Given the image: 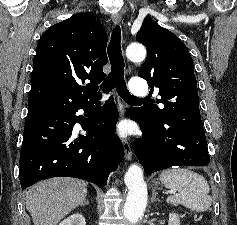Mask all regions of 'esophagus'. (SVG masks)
Masks as SVG:
<instances>
[{"instance_id":"esophagus-1","label":"esophagus","mask_w":237,"mask_h":225,"mask_svg":"<svg viewBox=\"0 0 237 225\" xmlns=\"http://www.w3.org/2000/svg\"><path fill=\"white\" fill-rule=\"evenodd\" d=\"M111 19H112L114 24H118V23L121 22V15L118 14V13H115L111 16ZM117 105H118V110H119V116H120V118H123L126 114V106L123 103V101L119 98L117 99ZM121 143H122V146H123V149H124L126 159L128 161H131L133 153H132L130 143L128 142V140L123 139V138L121 139Z\"/></svg>"}]
</instances>
